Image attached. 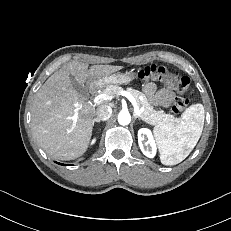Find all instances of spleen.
<instances>
[{"instance_id": "1", "label": "spleen", "mask_w": 231, "mask_h": 231, "mask_svg": "<svg viewBox=\"0 0 231 231\" xmlns=\"http://www.w3.org/2000/svg\"><path fill=\"white\" fill-rule=\"evenodd\" d=\"M204 119V107L197 103L188 107L174 123L154 127L162 164L176 165L190 154L202 134Z\"/></svg>"}]
</instances>
